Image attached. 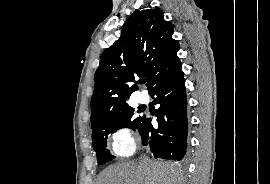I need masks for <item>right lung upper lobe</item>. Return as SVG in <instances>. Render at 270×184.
Listing matches in <instances>:
<instances>
[{
    "label": "right lung upper lobe",
    "instance_id": "obj_1",
    "mask_svg": "<svg viewBox=\"0 0 270 184\" xmlns=\"http://www.w3.org/2000/svg\"><path fill=\"white\" fill-rule=\"evenodd\" d=\"M173 32V24L164 20L159 9L137 10L127 18L120 38L104 50L95 72L91 125L128 105L138 89L128 83L147 76L150 90L173 68L179 61V43L172 39Z\"/></svg>",
    "mask_w": 270,
    "mask_h": 184
}]
</instances>
